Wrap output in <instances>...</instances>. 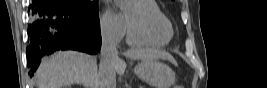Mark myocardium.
Segmentation results:
<instances>
[{"mask_svg":"<svg viewBox=\"0 0 267 88\" xmlns=\"http://www.w3.org/2000/svg\"><path fill=\"white\" fill-rule=\"evenodd\" d=\"M132 6L141 15V18L135 19L126 12V23L130 33L155 40L169 41L172 38V25L165 26L159 15L150 12L134 1Z\"/></svg>","mask_w":267,"mask_h":88,"instance_id":"f54148a6","label":"myocardium"}]
</instances>
